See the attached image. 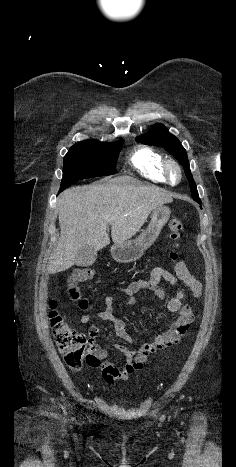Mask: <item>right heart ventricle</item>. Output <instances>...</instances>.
I'll use <instances>...</instances> for the list:
<instances>
[{"label": "right heart ventricle", "instance_id": "obj_1", "mask_svg": "<svg viewBox=\"0 0 236 467\" xmlns=\"http://www.w3.org/2000/svg\"><path fill=\"white\" fill-rule=\"evenodd\" d=\"M131 165L144 178L157 183H165L164 175L165 158L159 152L151 148H137L130 156Z\"/></svg>", "mask_w": 236, "mask_h": 467}]
</instances>
